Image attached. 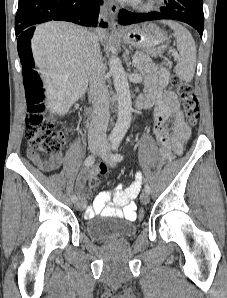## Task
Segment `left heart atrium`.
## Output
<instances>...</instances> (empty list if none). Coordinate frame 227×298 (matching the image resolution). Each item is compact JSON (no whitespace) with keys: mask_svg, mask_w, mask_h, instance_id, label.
<instances>
[{"mask_svg":"<svg viewBox=\"0 0 227 298\" xmlns=\"http://www.w3.org/2000/svg\"><path fill=\"white\" fill-rule=\"evenodd\" d=\"M124 1H135V0H124Z\"/></svg>","mask_w":227,"mask_h":298,"instance_id":"left-heart-atrium-1","label":"left heart atrium"}]
</instances>
